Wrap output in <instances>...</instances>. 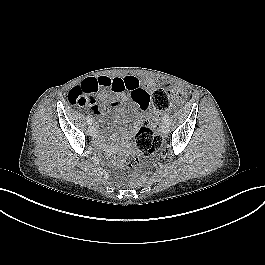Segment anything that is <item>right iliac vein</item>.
<instances>
[{"label": "right iliac vein", "instance_id": "obj_1", "mask_svg": "<svg viewBox=\"0 0 265 265\" xmlns=\"http://www.w3.org/2000/svg\"><path fill=\"white\" fill-rule=\"evenodd\" d=\"M88 133H89L91 136L95 135V133H96L95 128H94L93 126H89V128H88Z\"/></svg>", "mask_w": 265, "mask_h": 265}]
</instances>
